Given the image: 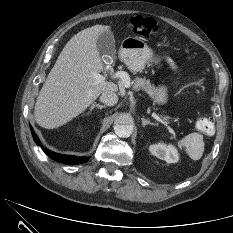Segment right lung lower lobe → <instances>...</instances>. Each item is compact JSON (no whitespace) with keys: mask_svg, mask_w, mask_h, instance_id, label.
Wrapping results in <instances>:
<instances>
[{"mask_svg":"<svg viewBox=\"0 0 233 233\" xmlns=\"http://www.w3.org/2000/svg\"><path fill=\"white\" fill-rule=\"evenodd\" d=\"M31 128L32 136L35 141V143L42 148V150L53 160L65 164H79V163H84L87 162L89 158L87 157H77L73 155H63V154H58L53 151L48 150L47 148L43 147L41 142L39 141V138L35 134L34 130Z\"/></svg>","mask_w":233,"mask_h":233,"instance_id":"obj_1","label":"right lung lower lobe"}]
</instances>
